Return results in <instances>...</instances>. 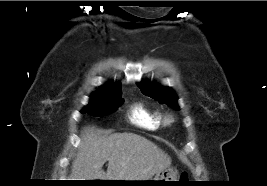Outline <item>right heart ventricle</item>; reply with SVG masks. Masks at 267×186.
<instances>
[{"label": "right heart ventricle", "instance_id": "1", "mask_svg": "<svg viewBox=\"0 0 267 186\" xmlns=\"http://www.w3.org/2000/svg\"><path fill=\"white\" fill-rule=\"evenodd\" d=\"M130 120L138 127L154 131L162 126L163 114L158 109L150 108L139 103L132 108Z\"/></svg>", "mask_w": 267, "mask_h": 186}]
</instances>
